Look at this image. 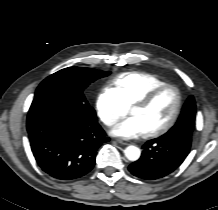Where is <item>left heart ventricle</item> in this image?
<instances>
[{"label": "left heart ventricle", "mask_w": 218, "mask_h": 210, "mask_svg": "<svg viewBox=\"0 0 218 210\" xmlns=\"http://www.w3.org/2000/svg\"><path fill=\"white\" fill-rule=\"evenodd\" d=\"M176 94L174 90L163 91L149 106L134 107L133 116L138 117L145 127L146 132L156 130L165 125L175 109Z\"/></svg>", "instance_id": "1"}]
</instances>
